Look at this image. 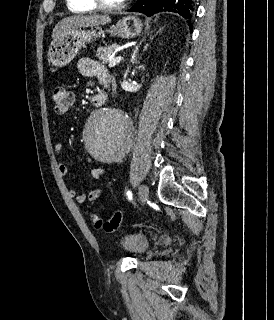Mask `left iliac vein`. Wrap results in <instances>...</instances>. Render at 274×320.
<instances>
[{
	"label": "left iliac vein",
	"mask_w": 274,
	"mask_h": 320,
	"mask_svg": "<svg viewBox=\"0 0 274 320\" xmlns=\"http://www.w3.org/2000/svg\"><path fill=\"white\" fill-rule=\"evenodd\" d=\"M139 193H140V199H141L142 203L145 202L149 197L148 186L145 184H142L139 188Z\"/></svg>",
	"instance_id": "1"
}]
</instances>
